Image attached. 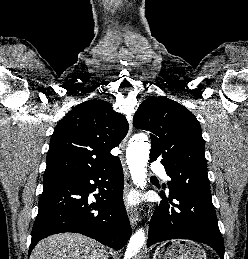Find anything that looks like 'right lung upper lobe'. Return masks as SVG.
<instances>
[{"instance_id": "obj_1", "label": "right lung upper lobe", "mask_w": 248, "mask_h": 259, "mask_svg": "<svg viewBox=\"0 0 248 259\" xmlns=\"http://www.w3.org/2000/svg\"><path fill=\"white\" fill-rule=\"evenodd\" d=\"M128 129L125 117L106 101L89 100L75 106L51 137L43 183L105 168L116 158L110 151Z\"/></svg>"}]
</instances>
